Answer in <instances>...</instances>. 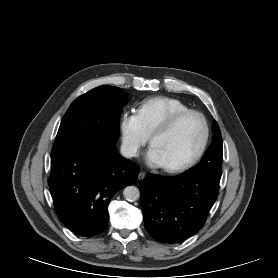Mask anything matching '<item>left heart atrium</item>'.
I'll list each match as a JSON object with an SVG mask.
<instances>
[{
    "label": "left heart atrium",
    "mask_w": 278,
    "mask_h": 278,
    "mask_svg": "<svg viewBox=\"0 0 278 278\" xmlns=\"http://www.w3.org/2000/svg\"><path fill=\"white\" fill-rule=\"evenodd\" d=\"M146 161L152 167L164 166L162 159L158 153V150L153 145H151V147L148 149L146 153Z\"/></svg>",
    "instance_id": "39dd6f15"
}]
</instances>
